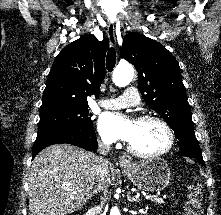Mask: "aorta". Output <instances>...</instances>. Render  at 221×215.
Wrapping results in <instances>:
<instances>
[{"label": "aorta", "instance_id": "1", "mask_svg": "<svg viewBox=\"0 0 221 215\" xmlns=\"http://www.w3.org/2000/svg\"><path fill=\"white\" fill-rule=\"evenodd\" d=\"M134 77V68L130 64H120L113 72V82L118 87H124L128 85ZM110 215H120V211L117 207H113L110 211Z\"/></svg>", "mask_w": 221, "mask_h": 215}]
</instances>
